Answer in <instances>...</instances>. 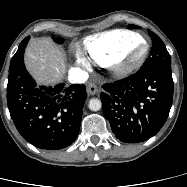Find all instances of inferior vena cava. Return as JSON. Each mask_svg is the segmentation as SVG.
<instances>
[{"label": "inferior vena cava", "instance_id": "inferior-vena-cava-1", "mask_svg": "<svg viewBox=\"0 0 187 187\" xmlns=\"http://www.w3.org/2000/svg\"><path fill=\"white\" fill-rule=\"evenodd\" d=\"M88 79V73L79 69V68H71L69 70L68 80L72 84H81L86 82Z\"/></svg>", "mask_w": 187, "mask_h": 187}]
</instances>
